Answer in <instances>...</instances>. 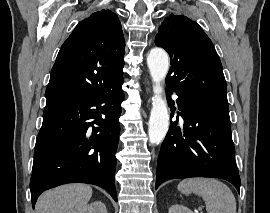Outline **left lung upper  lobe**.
<instances>
[{"label": "left lung upper lobe", "mask_w": 270, "mask_h": 213, "mask_svg": "<svg viewBox=\"0 0 270 213\" xmlns=\"http://www.w3.org/2000/svg\"><path fill=\"white\" fill-rule=\"evenodd\" d=\"M155 44L170 55L168 89L228 106L221 61L202 28L182 15L165 18Z\"/></svg>", "instance_id": "1"}]
</instances>
